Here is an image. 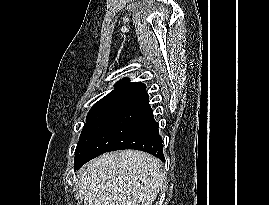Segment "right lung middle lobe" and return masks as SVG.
<instances>
[{
	"label": "right lung middle lobe",
	"instance_id": "obj_1",
	"mask_svg": "<svg viewBox=\"0 0 269 205\" xmlns=\"http://www.w3.org/2000/svg\"><path fill=\"white\" fill-rule=\"evenodd\" d=\"M126 108L121 106H94L87 115L79 142L75 150L74 165L84 147L105 127L115 116Z\"/></svg>",
	"mask_w": 269,
	"mask_h": 205
}]
</instances>
